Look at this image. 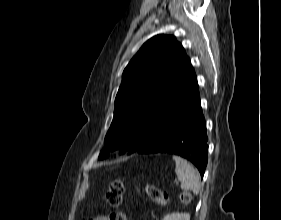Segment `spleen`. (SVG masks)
Segmentation results:
<instances>
[{"instance_id":"spleen-1","label":"spleen","mask_w":281,"mask_h":220,"mask_svg":"<svg viewBox=\"0 0 281 220\" xmlns=\"http://www.w3.org/2000/svg\"><path fill=\"white\" fill-rule=\"evenodd\" d=\"M176 164V175L181 183V188L191 190L194 194H198L201 190L200 175L198 171L185 159L179 156H173Z\"/></svg>"}]
</instances>
